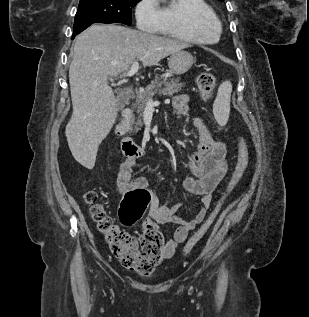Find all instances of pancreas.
Listing matches in <instances>:
<instances>
[{
	"label": "pancreas",
	"instance_id": "1",
	"mask_svg": "<svg viewBox=\"0 0 309 317\" xmlns=\"http://www.w3.org/2000/svg\"><path fill=\"white\" fill-rule=\"evenodd\" d=\"M184 84L180 83V78L175 79H155L146 87L143 93L138 95V98L133 105V109L137 112V117L132 118V126L130 132H137L139 127L142 126L141 117L145 107L147 106L148 100L155 95L156 93L164 96H172L175 93H178L183 88ZM134 126V128H133Z\"/></svg>",
	"mask_w": 309,
	"mask_h": 317
}]
</instances>
